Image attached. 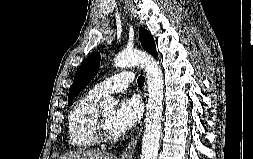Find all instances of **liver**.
Returning a JSON list of instances; mask_svg holds the SVG:
<instances>
[{"mask_svg": "<svg viewBox=\"0 0 253 159\" xmlns=\"http://www.w3.org/2000/svg\"><path fill=\"white\" fill-rule=\"evenodd\" d=\"M59 159H115V157L113 154L108 153L105 150L82 148L70 153L63 154Z\"/></svg>", "mask_w": 253, "mask_h": 159, "instance_id": "6515ba94", "label": "liver"}]
</instances>
